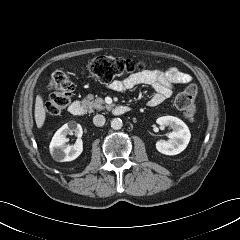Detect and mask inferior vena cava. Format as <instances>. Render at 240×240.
Returning <instances> with one entry per match:
<instances>
[{"label":"inferior vena cava","mask_w":240,"mask_h":240,"mask_svg":"<svg viewBox=\"0 0 240 240\" xmlns=\"http://www.w3.org/2000/svg\"><path fill=\"white\" fill-rule=\"evenodd\" d=\"M93 123L95 126H103L105 124V117L103 115H95L93 118Z\"/></svg>","instance_id":"1"}]
</instances>
